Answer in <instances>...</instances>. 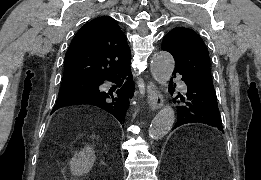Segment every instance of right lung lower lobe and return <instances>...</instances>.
<instances>
[{"instance_id": "98d812e1", "label": "right lung lower lobe", "mask_w": 261, "mask_h": 180, "mask_svg": "<svg viewBox=\"0 0 261 180\" xmlns=\"http://www.w3.org/2000/svg\"><path fill=\"white\" fill-rule=\"evenodd\" d=\"M130 75L131 72L128 66L126 69L98 81L97 89H95L93 93H78L57 100L53 111L72 104H90L108 111L123 124L129 106L128 100L133 92V81ZM120 77H127V81L116 91L117 96H114L112 92L106 93L99 91V85L105 80L117 82Z\"/></svg>"}]
</instances>
